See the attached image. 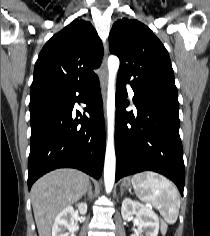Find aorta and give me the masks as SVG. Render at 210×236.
<instances>
[{"mask_svg": "<svg viewBox=\"0 0 210 236\" xmlns=\"http://www.w3.org/2000/svg\"><path fill=\"white\" fill-rule=\"evenodd\" d=\"M119 59L115 55L108 58V93H107V118L108 140L106 145L104 164V183L107 193H110L115 181L116 156L114 147V119H115V78L119 69Z\"/></svg>", "mask_w": 210, "mask_h": 236, "instance_id": "aorta-1", "label": "aorta"}]
</instances>
